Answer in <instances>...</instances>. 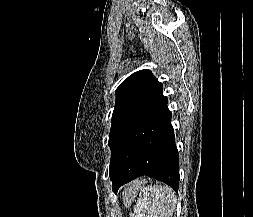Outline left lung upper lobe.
Listing matches in <instances>:
<instances>
[{
	"instance_id": "1",
	"label": "left lung upper lobe",
	"mask_w": 253,
	"mask_h": 217,
	"mask_svg": "<svg viewBox=\"0 0 253 217\" xmlns=\"http://www.w3.org/2000/svg\"><path fill=\"white\" fill-rule=\"evenodd\" d=\"M162 88L149 70L133 73L117 88L108 143L111 149L110 172L120 142L132 125L164 97Z\"/></svg>"
}]
</instances>
